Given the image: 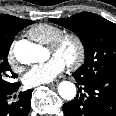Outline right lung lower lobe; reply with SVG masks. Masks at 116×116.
Returning <instances> with one entry per match:
<instances>
[{"label":"right lung lower lobe","instance_id":"1","mask_svg":"<svg viewBox=\"0 0 116 116\" xmlns=\"http://www.w3.org/2000/svg\"><path fill=\"white\" fill-rule=\"evenodd\" d=\"M20 87V83H14L10 88L0 91V116H27L31 108L32 89L20 92L15 95ZM11 98H17L16 102H11Z\"/></svg>","mask_w":116,"mask_h":116}]
</instances>
